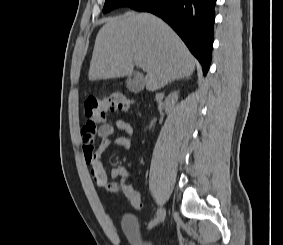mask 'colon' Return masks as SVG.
Listing matches in <instances>:
<instances>
[{
    "label": "colon",
    "instance_id": "1",
    "mask_svg": "<svg viewBox=\"0 0 283 245\" xmlns=\"http://www.w3.org/2000/svg\"><path fill=\"white\" fill-rule=\"evenodd\" d=\"M131 105V101L119 95L90 96L85 101V116L87 122L103 123L106 113L109 111H125ZM121 193L129 200L134 208H141L143 201L140 193L124 180L120 182Z\"/></svg>",
    "mask_w": 283,
    "mask_h": 245
}]
</instances>
